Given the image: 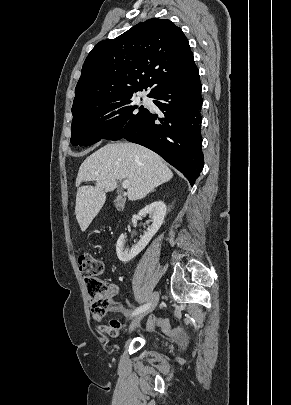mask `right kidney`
<instances>
[{
	"label": "right kidney",
	"instance_id": "right-kidney-1",
	"mask_svg": "<svg viewBox=\"0 0 291 405\" xmlns=\"http://www.w3.org/2000/svg\"><path fill=\"white\" fill-rule=\"evenodd\" d=\"M166 205L162 201H155L145 208L140 210L139 216H146L149 214L151 218V226L147 228V231L141 237L140 241L135 244L131 249H124L125 236L122 234L116 244L117 257L121 262H129L134 257H136L150 242L152 237L157 233L161 227L164 218L166 216Z\"/></svg>",
	"mask_w": 291,
	"mask_h": 405
}]
</instances>
